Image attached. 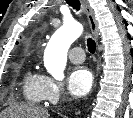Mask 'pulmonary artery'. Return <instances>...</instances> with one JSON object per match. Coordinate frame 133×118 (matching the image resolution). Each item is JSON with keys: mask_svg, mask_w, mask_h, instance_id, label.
Masks as SVG:
<instances>
[{"mask_svg": "<svg viewBox=\"0 0 133 118\" xmlns=\"http://www.w3.org/2000/svg\"><path fill=\"white\" fill-rule=\"evenodd\" d=\"M69 59L73 63H82L85 59L84 50L80 46H75L69 51Z\"/></svg>", "mask_w": 133, "mask_h": 118, "instance_id": "1", "label": "pulmonary artery"}]
</instances>
